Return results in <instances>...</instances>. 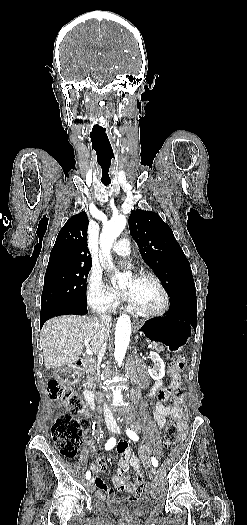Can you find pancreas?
<instances>
[{
	"mask_svg": "<svg viewBox=\"0 0 247 525\" xmlns=\"http://www.w3.org/2000/svg\"><path fill=\"white\" fill-rule=\"evenodd\" d=\"M155 352H164V347H155ZM85 371L86 373H89L88 385H92L94 381H97L95 365H87Z\"/></svg>",
	"mask_w": 247,
	"mask_h": 525,
	"instance_id": "pancreas-1",
	"label": "pancreas"
}]
</instances>
